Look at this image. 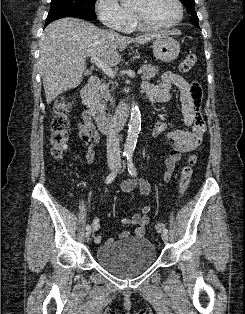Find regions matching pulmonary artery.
Wrapping results in <instances>:
<instances>
[{
  "mask_svg": "<svg viewBox=\"0 0 245 314\" xmlns=\"http://www.w3.org/2000/svg\"><path fill=\"white\" fill-rule=\"evenodd\" d=\"M123 32H129L127 29H125V30H122Z\"/></svg>",
  "mask_w": 245,
  "mask_h": 314,
  "instance_id": "obj_1",
  "label": "pulmonary artery"
}]
</instances>
